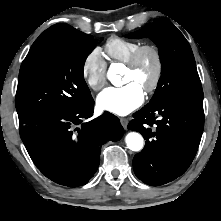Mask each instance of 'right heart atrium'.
<instances>
[{"mask_svg": "<svg viewBox=\"0 0 221 221\" xmlns=\"http://www.w3.org/2000/svg\"><path fill=\"white\" fill-rule=\"evenodd\" d=\"M107 63L99 48H93L84 57L81 65V74L87 86L100 90L106 83Z\"/></svg>", "mask_w": 221, "mask_h": 221, "instance_id": "1", "label": "right heart atrium"}]
</instances>
